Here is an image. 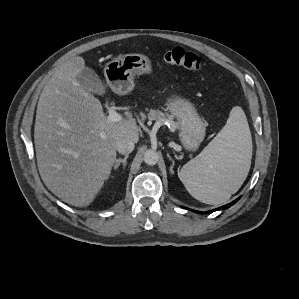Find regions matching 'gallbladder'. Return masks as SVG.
Instances as JSON below:
<instances>
[{"instance_id":"1","label":"gallbladder","mask_w":299,"mask_h":299,"mask_svg":"<svg viewBox=\"0 0 299 299\" xmlns=\"http://www.w3.org/2000/svg\"><path fill=\"white\" fill-rule=\"evenodd\" d=\"M80 86L86 90L101 94L104 92V86L95 71L89 67H85L79 72L76 78Z\"/></svg>"}]
</instances>
